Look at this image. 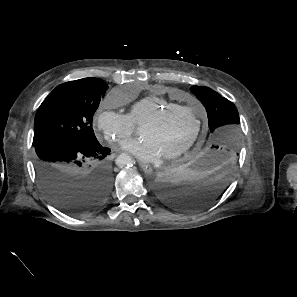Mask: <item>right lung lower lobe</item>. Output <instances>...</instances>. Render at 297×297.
<instances>
[{
	"instance_id": "obj_1",
	"label": "right lung lower lobe",
	"mask_w": 297,
	"mask_h": 297,
	"mask_svg": "<svg viewBox=\"0 0 297 297\" xmlns=\"http://www.w3.org/2000/svg\"><path fill=\"white\" fill-rule=\"evenodd\" d=\"M33 145L39 183L57 208L70 215H84L104 203L112 175L101 160L110 154L109 148L66 137H51ZM94 159L100 162H91Z\"/></svg>"
}]
</instances>
